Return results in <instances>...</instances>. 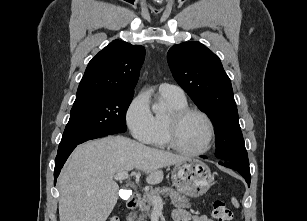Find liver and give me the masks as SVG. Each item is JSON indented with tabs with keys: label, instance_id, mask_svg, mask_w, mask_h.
<instances>
[{
	"label": "liver",
	"instance_id": "6515ba94",
	"mask_svg": "<svg viewBox=\"0 0 307 221\" xmlns=\"http://www.w3.org/2000/svg\"><path fill=\"white\" fill-rule=\"evenodd\" d=\"M189 158L110 136L76 147L58 178L60 221H106L118 200L115 174L134 168L149 184L163 180L162 168Z\"/></svg>",
	"mask_w": 307,
	"mask_h": 221
}]
</instances>
